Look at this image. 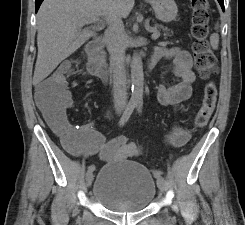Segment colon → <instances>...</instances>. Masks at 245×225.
Masks as SVG:
<instances>
[{
  "mask_svg": "<svg viewBox=\"0 0 245 225\" xmlns=\"http://www.w3.org/2000/svg\"><path fill=\"white\" fill-rule=\"evenodd\" d=\"M192 25L191 32L195 39L193 55L196 69L206 79L217 73V63L207 40L209 32V4L207 0H191ZM68 76L55 73L39 86V104L51 115H59L67 106L69 97ZM217 98V89L213 81H209L203 92V101L198 111L194 124L201 128L211 120ZM75 130L68 128L61 131L62 142L65 147L72 146L71 136Z\"/></svg>",
  "mask_w": 245,
  "mask_h": 225,
  "instance_id": "colon-1",
  "label": "colon"
}]
</instances>
